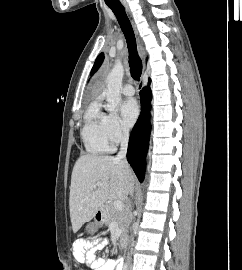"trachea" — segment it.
I'll list each match as a JSON object with an SVG mask.
<instances>
[{
  "label": "trachea",
  "mask_w": 242,
  "mask_h": 270,
  "mask_svg": "<svg viewBox=\"0 0 242 270\" xmlns=\"http://www.w3.org/2000/svg\"><path fill=\"white\" fill-rule=\"evenodd\" d=\"M109 8L117 17L120 27L125 35L129 50V66L131 76L134 80L138 81L142 73V62L137 53L136 39L133 28L122 5L109 6Z\"/></svg>",
  "instance_id": "3493384b"
}]
</instances>
